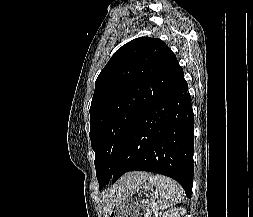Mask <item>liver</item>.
I'll return each mask as SVG.
<instances>
[{"mask_svg":"<svg viewBox=\"0 0 253 217\" xmlns=\"http://www.w3.org/2000/svg\"><path fill=\"white\" fill-rule=\"evenodd\" d=\"M147 177L148 175L144 172H130L122 176L119 181L103 195L105 217L108 216L107 213L110 212L111 205L117 198L123 196L125 192L134 189L144 182Z\"/></svg>","mask_w":253,"mask_h":217,"instance_id":"liver-1","label":"liver"}]
</instances>
